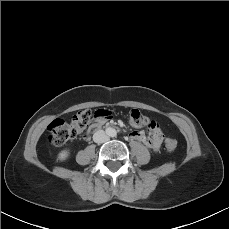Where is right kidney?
I'll use <instances>...</instances> for the list:
<instances>
[{"label":"right kidney","mask_w":229,"mask_h":229,"mask_svg":"<svg viewBox=\"0 0 229 229\" xmlns=\"http://www.w3.org/2000/svg\"><path fill=\"white\" fill-rule=\"evenodd\" d=\"M69 154H70L69 150H63L59 153L58 158L61 161L66 160L68 158Z\"/></svg>","instance_id":"obj_1"}]
</instances>
